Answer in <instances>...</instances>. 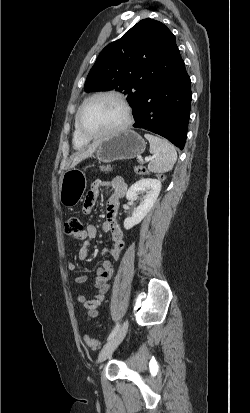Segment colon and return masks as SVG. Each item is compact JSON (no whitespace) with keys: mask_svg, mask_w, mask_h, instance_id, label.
<instances>
[{"mask_svg":"<svg viewBox=\"0 0 250 413\" xmlns=\"http://www.w3.org/2000/svg\"><path fill=\"white\" fill-rule=\"evenodd\" d=\"M135 172L138 174H146L147 176L153 175L152 169H146L144 166L138 165L135 167ZM155 179L158 183H165L167 180L166 175L163 171H156L154 174ZM65 234L71 238H79V236L75 235L76 231L82 229V223L80 219L76 216L70 217L65 223ZM84 342L87 346L91 348H98L100 346V341L90 337L89 335H84Z\"/></svg>","mask_w":250,"mask_h":413,"instance_id":"5ec220e1","label":"colon"}]
</instances>
